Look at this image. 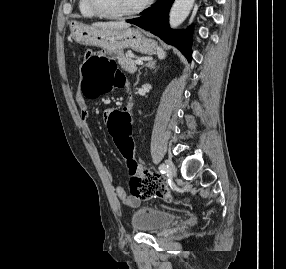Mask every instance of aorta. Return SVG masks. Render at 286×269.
Returning <instances> with one entry per match:
<instances>
[{
    "instance_id": "aorta-1",
    "label": "aorta",
    "mask_w": 286,
    "mask_h": 269,
    "mask_svg": "<svg viewBox=\"0 0 286 269\" xmlns=\"http://www.w3.org/2000/svg\"><path fill=\"white\" fill-rule=\"evenodd\" d=\"M194 4V0H175L169 15L171 28H177L189 15Z\"/></svg>"
}]
</instances>
